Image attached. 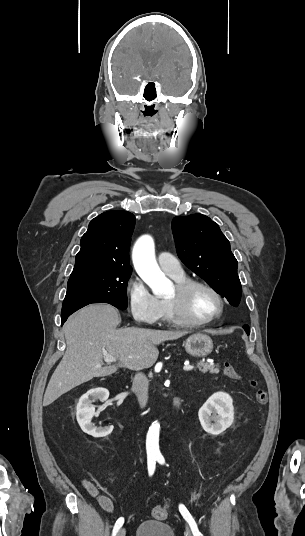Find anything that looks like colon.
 <instances>
[{
    "label": "colon",
    "instance_id": "colon-1",
    "mask_svg": "<svg viewBox=\"0 0 305 536\" xmlns=\"http://www.w3.org/2000/svg\"><path fill=\"white\" fill-rule=\"evenodd\" d=\"M223 373L225 376L231 378V379H234V380H240L241 379V375L237 372V370L234 368V366L230 363V362H225L223 364ZM251 386L252 387H256V382L255 381H251L250 382ZM255 399H256V402L259 404V405H262L264 406L266 403H267V400H268V395H267V392L263 389H256L255 391ZM169 509H170V506L169 504H159L157 506L154 507V509L152 510V515L154 518L156 519H163L165 517H167L168 513H169Z\"/></svg>",
    "mask_w": 305,
    "mask_h": 536
}]
</instances>
